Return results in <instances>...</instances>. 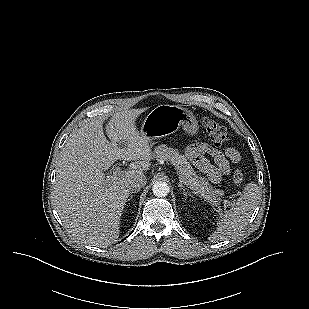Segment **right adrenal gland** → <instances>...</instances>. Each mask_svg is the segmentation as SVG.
Segmentation results:
<instances>
[{
	"label": "right adrenal gland",
	"instance_id": "2a0ac1e0",
	"mask_svg": "<svg viewBox=\"0 0 309 309\" xmlns=\"http://www.w3.org/2000/svg\"><path fill=\"white\" fill-rule=\"evenodd\" d=\"M139 190H134V191H132L131 193H130V197H129V199H128V201H130L132 198H133V194L134 193H137Z\"/></svg>",
	"mask_w": 309,
	"mask_h": 309
}]
</instances>
